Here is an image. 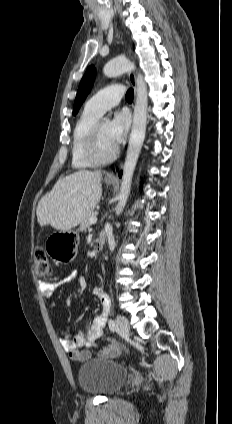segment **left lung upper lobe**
<instances>
[{"mask_svg":"<svg viewBox=\"0 0 232 424\" xmlns=\"http://www.w3.org/2000/svg\"><path fill=\"white\" fill-rule=\"evenodd\" d=\"M95 75H96V69L93 65H91L85 72L80 82L77 95L75 98V102H74L73 115H76L78 113L80 106L82 105L86 96L90 92L94 79H95Z\"/></svg>","mask_w":232,"mask_h":424,"instance_id":"left-lung-upper-lobe-1","label":"left lung upper lobe"}]
</instances>
